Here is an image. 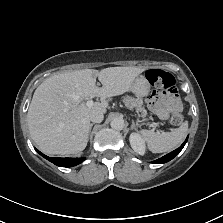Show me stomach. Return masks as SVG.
Masks as SVG:
<instances>
[{"label": "stomach", "mask_w": 223, "mask_h": 223, "mask_svg": "<svg viewBox=\"0 0 223 223\" xmlns=\"http://www.w3.org/2000/svg\"><path fill=\"white\" fill-rule=\"evenodd\" d=\"M134 94H141L146 96L150 91V83L148 77L143 75L138 76L130 87Z\"/></svg>", "instance_id": "stomach-1"}]
</instances>
